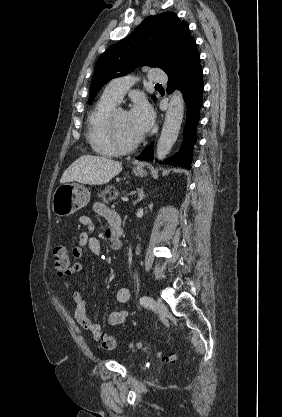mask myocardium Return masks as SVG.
<instances>
[{
    "label": "myocardium",
    "instance_id": "1",
    "mask_svg": "<svg viewBox=\"0 0 282 417\" xmlns=\"http://www.w3.org/2000/svg\"><path fill=\"white\" fill-rule=\"evenodd\" d=\"M120 113H126V110H124L122 107L117 106L113 108L106 117V122L109 127V139L111 144L114 148L120 151L124 150H131L136 148L141 144L143 141V135H140L135 141L133 142H124L120 139L118 136L117 130H116V118Z\"/></svg>",
    "mask_w": 282,
    "mask_h": 417
}]
</instances>
